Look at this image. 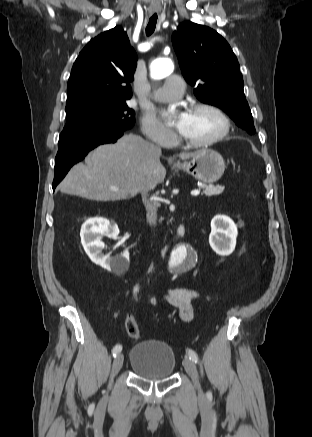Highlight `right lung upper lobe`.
<instances>
[{"instance_id": "right-lung-upper-lobe-1", "label": "right lung upper lobe", "mask_w": 312, "mask_h": 437, "mask_svg": "<svg viewBox=\"0 0 312 437\" xmlns=\"http://www.w3.org/2000/svg\"><path fill=\"white\" fill-rule=\"evenodd\" d=\"M137 54L124 30L101 33L80 52L68 80L66 107L81 102H123L131 98L130 82Z\"/></svg>"}]
</instances>
